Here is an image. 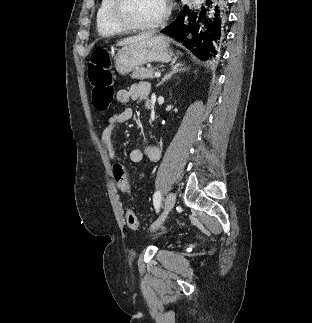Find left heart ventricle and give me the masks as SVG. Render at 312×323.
<instances>
[{"label":"left heart ventricle","instance_id":"1","mask_svg":"<svg viewBox=\"0 0 312 323\" xmlns=\"http://www.w3.org/2000/svg\"><path fill=\"white\" fill-rule=\"evenodd\" d=\"M119 4V14L134 18L135 22H149L151 18H159L164 9L163 0H119Z\"/></svg>","mask_w":312,"mask_h":323}]
</instances>
